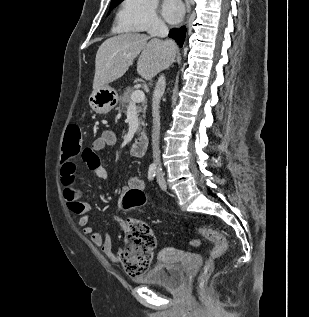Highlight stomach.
I'll list each match as a JSON object with an SVG mask.
<instances>
[{
	"label": "stomach",
	"instance_id": "1",
	"mask_svg": "<svg viewBox=\"0 0 309 317\" xmlns=\"http://www.w3.org/2000/svg\"><path fill=\"white\" fill-rule=\"evenodd\" d=\"M119 101L118 93L109 85L93 90L89 97V105L98 114H106L113 109Z\"/></svg>",
	"mask_w": 309,
	"mask_h": 317
}]
</instances>
